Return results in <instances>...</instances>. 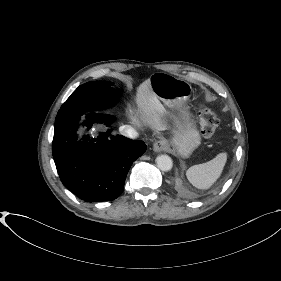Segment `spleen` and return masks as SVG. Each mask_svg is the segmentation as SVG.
<instances>
[{
    "mask_svg": "<svg viewBox=\"0 0 281 281\" xmlns=\"http://www.w3.org/2000/svg\"><path fill=\"white\" fill-rule=\"evenodd\" d=\"M226 160V153H220L206 163L191 166L186 172L187 179L198 189H208L221 175Z\"/></svg>",
    "mask_w": 281,
    "mask_h": 281,
    "instance_id": "3e777b00",
    "label": "spleen"
}]
</instances>
